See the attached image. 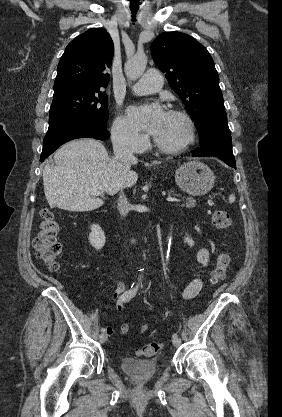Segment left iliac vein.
<instances>
[{
    "label": "left iliac vein",
    "mask_w": 282,
    "mask_h": 417,
    "mask_svg": "<svg viewBox=\"0 0 282 417\" xmlns=\"http://www.w3.org/2000/svg\"><path fill=\"white\" fill-rule=\"evenodd\" d=\"M172 343L175 347H178L181 344L180 338H173Z\"/></svg>",
    "instance_id": "left-iliac-vein-1"
}]
</instances>
